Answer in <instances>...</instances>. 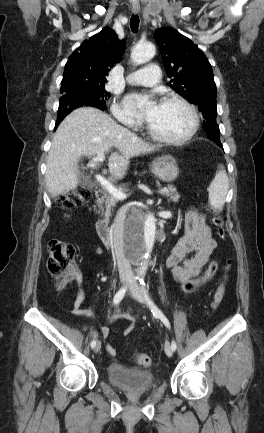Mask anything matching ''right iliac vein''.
<instances>
[{"label": "right iliac vein", "mask_w": 264, "mask_h": 433, "mask_svg": "<svg viewBox=\"0 0 264 433\" xmlns=\"http://www.w3.org/2000/svg\"><path fill=\"white\" fill-rule=\"evenodd\" d=\"M127 281H128V280H127L126 278H121V279H120V282H121L122 285H124ZM100 349H101V342L98 341V342L96 343V345L94 346V352H95V353H98V352L100 351Z\"/></svg>", "instance_id": "right-iliac-vein-1"}]
</instances>
